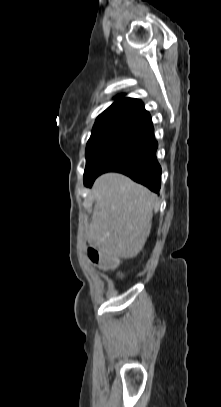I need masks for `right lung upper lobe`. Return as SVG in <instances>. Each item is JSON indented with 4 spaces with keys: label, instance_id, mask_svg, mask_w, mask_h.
<instances>
[{
    "label": "right lung upper lobe",
    "instance_id": "right-lung-upper-lobe-1",
    "mask_svg": "<svg viewBox=\"0 0 221 407\" xmlns=\"http://www.w3.org/2000/svg\"><path fill=\"white\" fill-rule=\"evenodd\" d=\"M151 121L142 101L133 98H119L98 116L92 132L113 127H137Z\"/></svg>",
    "mask_w": 221,
    "mask_h": 407
}]
</instances>
